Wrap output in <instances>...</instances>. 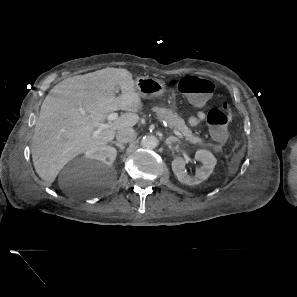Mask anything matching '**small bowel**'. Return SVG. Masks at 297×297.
Returning a JSON list of instances; mask_svg holds the SVG:
<instances>
[{
	"mask_svg": "<svg viewBox=\"0 0 297 297\" xmlns=\"http://www.w3.org/2000/svg\"><path fill=\"white\" fill-rule=\"evenodd\" d=\"M205 117L204 112L200 111L195 116L189 119V124L191 126H197Z\"/></svg>",
	"mask_w": 297,
	"mask_h": 297,
	"instance_id": "c3829d8e",
	"label": "small bowel"
}]
</instances>
